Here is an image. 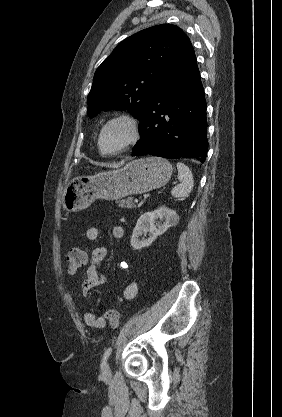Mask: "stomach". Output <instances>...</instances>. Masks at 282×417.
I'll list each match as a JSON object with an SVG mask.
<instances>
[{"label":"stomach","instance_id":"1","mask_svg":"<svg viewBox=\"0 0 282 417\" xmlns=\"http://www.w3.org/2000/svg\"><path fill=\"white\" fill-rule=\"evenodd\" d=\"M172 166L161 156H147L127 162L122 168L104 170L93 176L73 178L63 194V209L77 213L87 209L95 198L117 200L128 194H142L167 184Z\"/></svg>","mask_w":282,"mask_h":417}]
</instances>
